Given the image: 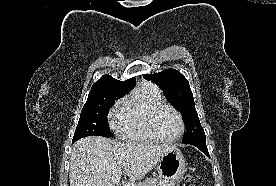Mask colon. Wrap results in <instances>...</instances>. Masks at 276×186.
<instances>
[{"instance_id":"5ec220e1","label":"colon","mask_w":276,"mask_h":186,"mask_svg":"<svg viewBox=\"0 0 276 186\" xmlns=\"http://www.w3.org/2000/svg\"><path fill=\"white\" fill-rule=\"evenodd\" d=\"M180 186H205V183L201 177L190 175L184 178Z\"/></svg>"}]
</instances>
